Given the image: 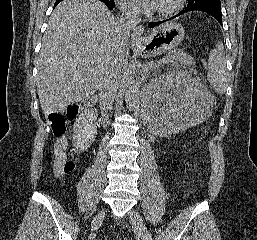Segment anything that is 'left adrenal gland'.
<instances>
[{
	"mask_svg": "<svg viewBox=\"0 0 257 240\" xmlns=\"http://www.w3.org/2000/svg\"><path fill=\"white\" fill-rule=\"evenodd\" d=\"M145 80H146V74L143 75V77H142V81H145Z\"/></svg>",
	"mask_w": 257,
	"mask_h": 240,
	"instance_id": "obj_1",
	"label": "left adrenal gland"
}]
</instances>
